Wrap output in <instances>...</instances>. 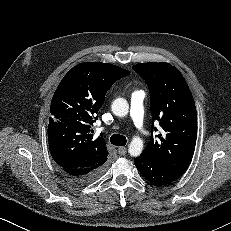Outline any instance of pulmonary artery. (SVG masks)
Masks as SVG:
<instances>
[{
  "label": "pulmonary artery",
  "instance_id": "pulmonary-artery-1",
  "mask_svg": "<svg viewBox=\"0 0 231 231\" xmlns=\"http://www.w3.org/2000/svg\"><path fill=\"white\" fill-rule=\"evenodd\" d=\"M145 93L141 90L134 91L130 99L129 116L134 123L135 127L143 134H145L143 126L144 107L143 101Z\"/></svg>",
  "mask_w": 231,
  "mask_h": 231
}]
</instances>
